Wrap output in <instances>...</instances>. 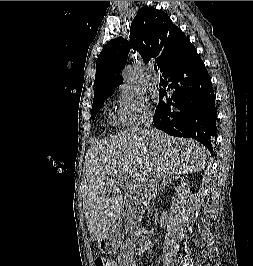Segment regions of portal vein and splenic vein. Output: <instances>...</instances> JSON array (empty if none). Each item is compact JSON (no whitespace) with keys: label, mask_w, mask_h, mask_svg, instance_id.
I'll return each mask as SVG.
<instances>
[{"label":"portal vein and splenic vein","mask_w":253,"mask_h":266,"mask_svg":"<svg viewBox=\"0 0 253 266\" xmlns=\"http://www.w3.org/2000/svg\"><path fill=\"white\" fill-rule=\"evenodd\" d=\"M124 179H126V178H124ZM115 182H119V180L116 179ZM138 186H139V184L136 181H134V180H133L132 183H130L128 185L129 189H131L133 191H136V189L138 188Z\"/></svg>","instance_id":"obj_1"}]
</instances>
